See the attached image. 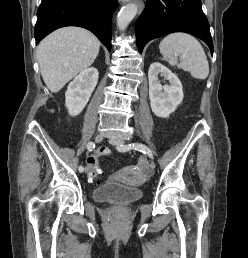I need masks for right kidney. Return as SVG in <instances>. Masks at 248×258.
<instances>
[{"mask_svg": "<svg viewBox=\"0 0 248 258\" xmlns=\"http://www.w3.org/2000/svg\"><path fill=\"white\" fill-rule=\"evenodd\" d=\"M98 70L87 68L68 85L65 93V105L71 116L80 114L88 103L98 82Z\"/></svg>", "mask_w": 248, "mask_h": 258, "instance_id": "1", "label": "right kidney"}]
</instances>
